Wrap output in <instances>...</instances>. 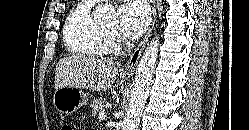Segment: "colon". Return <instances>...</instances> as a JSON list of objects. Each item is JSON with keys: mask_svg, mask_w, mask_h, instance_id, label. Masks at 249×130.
<instances>
[{"mask_svg": "<svg viewBox=\"0 0 249 130\" xmlns=\"http://www.w3.org/2000/svg\"><path fill=\"white\" fill-rule=\"evenodd\" d=\"M61 130H75V128L73 125L67 123L62 126Z\"/></svg>", "mask_w": 249, "mask_h": 130, "instance_id": "1", "label": "colon"}]
</instances>
